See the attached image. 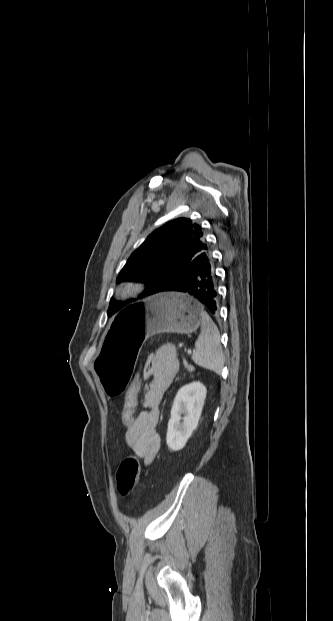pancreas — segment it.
Masks as SVG:
<instances>
[{
	"label": "pancreas",
	"instance_id": "obj_1",
	"mask_svg": "<svg viewBox=\"0 0 333 621\" xmlns=\"http://www.w3.org/2000/svg\"><path fill=\"white\" fill-rule=\"evenodd\" d=\"M184 365L189 372L194 371V366L189 365L186 360H184Z\"/></svg>",
	"mask_w": 333,
	"mask_h": 621
}]
</instances>
